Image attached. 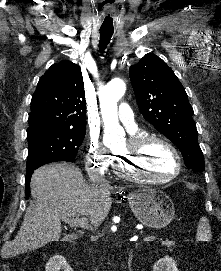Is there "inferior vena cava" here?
Instances as JSON below:
<instances>
[{
	"instance_id": "inferior-vena-cava-1",
	"label": "inferior vena cava",
	"mask_w": 221,
	"mask_h": 271,
	"mask_svg": "<svg viewBox=\"0 0 221 271\" xmlns=\"http://www.w3.org/2000/svg\"><path fill=\"white\" fill-rule=\"evenodd\" d=\"M107 179H104V177H98V179H95L93 181V185H95L98 193H101L102 197H108L106 191L107 187H105L104 183H106Z\"/></svg>"
}]
</instances>
